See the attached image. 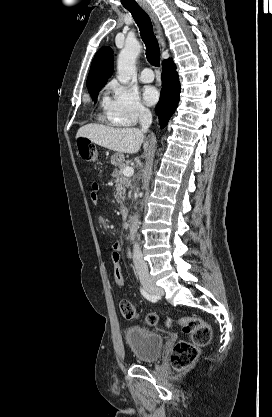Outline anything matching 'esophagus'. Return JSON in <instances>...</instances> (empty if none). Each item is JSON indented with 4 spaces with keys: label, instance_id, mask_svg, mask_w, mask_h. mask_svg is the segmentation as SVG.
Returning <instances> with one entry per match:
<instances>
[{
    "label": "esophagus",
    "instance_id": "obj_1",
    "mask_svg": "<svg viewBox=\"0 0 272 417\" xmlns=\"http://www.w3.org/2000/svg\"><path fill=\"white\" fill-rule=\"evenodd\" d=\"M141 6L145 10V12L150 16V18L152 19V21L154 23L155 34L157 36V39L159 40V43H160L161 47L164 49L165 46H166V43H165V39H164V36H163V33H162V28L160 26V23L157 19L156 14L154 13L152 8L147 3H142Z\"/></svg>",
    "mask_w": 272,
    "mask_h": 417
}]
</instances>
